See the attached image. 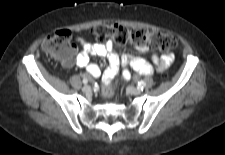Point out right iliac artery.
Wrapping results in <instances>:
<instances>
[{
  "mask_svg": "<svg viewBox=\"0 0 225 155\" xmlns=\"http://www.w3.org/2000/svg\"><path fill=\"white\" fill-rule=\"evenodd\" d=\"M83 83H84V84H87V83H88V79L84 78V79H83Z\"/></svg>",
  "mask_w": 225,
  "mask_h": 155,
  "instance_id": "82829eb1",
  "label": "right iliac artery"
}]
</instances>
